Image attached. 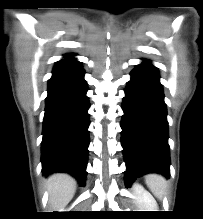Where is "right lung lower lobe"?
<instances>
[{"label": "right lung lower lobe", "instance_id": "1", "mask_svg": "<svg viewBox=\"0 0 203 219\" xmlns=\"http://www.w3.org/2000/svg\"><path fill=\"white\" fill-rule=\"evenodd\" d=\"M79 61H58L48 81L41 161L44 175L66 172L84 185L88 159L90 104Z\"/></svg>", "mask_w": 203, "mask_h": 219}]
</instances>
